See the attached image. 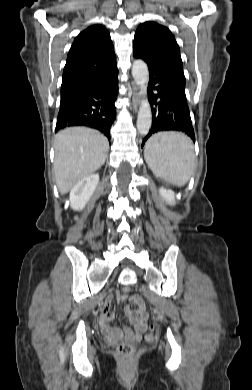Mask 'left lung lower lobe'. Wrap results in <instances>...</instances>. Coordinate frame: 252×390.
I'll use <instances>...</instances> for the list:
<instances>
[{
	"instance_id": "left-lung-lower-lobe-1",
	"label": "left lung lower lobe",
	"mask_w": 252,
	"mask_h": 390,
	"mask_svg": "<svg viewBox=\"0 0 252 390\" xmlns=\"http://www.w3.org/2000/svg\"><path fill=\"white\" fill-rule=\"evenodd\" d=\"M133 54L135 58L142 59L137 53ZM148 69V93L153 118L152 127L144 138L142 147L152 134L166 130L185 132L195 142L185 95V80L154 64H148Z\"/></svg>"
}]
</instances>
